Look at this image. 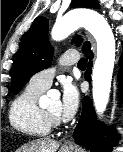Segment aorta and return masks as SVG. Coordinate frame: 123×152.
Returning a JSON list of instances; mask_svg holds the SVG:
<instances>
[{"label":"aorta","instance_id":"1","mask_svg":"<svg viewBox=\"0 0 123 152\" xmlns=\"http://www.w3.org/2000/svg\"><path fill=\"white\" fill-rule=\"evenodd\" d=\"M79 27L88 30L97 42V58L92 73L93 101L100 115L106 110L115 61V38L107 20L95 11L78 10L67 13L54 24L51 36L60 41Z\"/></svg>","mask_w":123,"mask_h":152}]
</instances>
